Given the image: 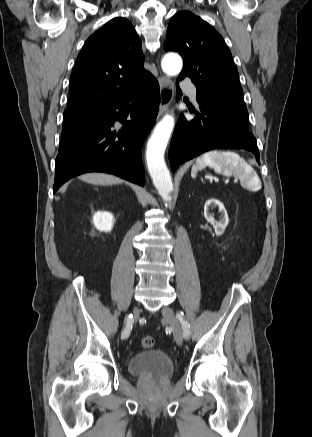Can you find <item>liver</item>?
Returning <instances> with one entry per match:
<instances>
[{"instance_id":"6515ba94","label":"liver","mask_w":312,"mask_h":437,"mask_svg":"<svg viewBox=\"0 0 312 437\" xmlns=\"http://www.w3.org/2000/svg\"><path fill=\"white\" fill-rule=\"evenodd\" d=\"M82 181L94 185H113L122 183L123 180L109 174L104 173H88L79 177Z\"/></svg>"}]
</instances>
